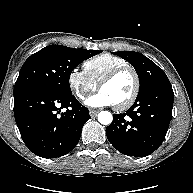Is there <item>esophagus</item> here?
<instances>
[{"label":"esophagus","mask_w":193,"mask_h":193,"mask_svg":"<svg viewBox=\"0 0 193 193\" xmlns=\"http://www.w3.org/2000/svg\"><path fill=\"white\" fill-rule=\"evenodd\" d=\"M98 110H95V109H90L89 110V114L91 117H95L97 114H98Z\"/></svg>","instance_id":"obj_1"}]
</instances>
